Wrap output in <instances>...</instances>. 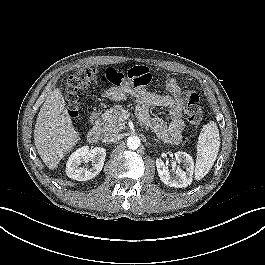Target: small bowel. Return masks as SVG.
Returning <instances> with one entry per match:
<instances>
[{
  "mask_svg": "<svg viewBox=\"0 0 265 265\" xmlns=\"http://www.w3.org/2000/svg\"><path fill=\"white\" fill-rule=\"evenodd\" d=\"M139 78L146 81L145 84H137L132 80L124 82L118 87H112L105 92L107 98L113 101H121L127 95H133L137 101V116L139 120L150 127L157 136L166 143L177 144L180 142L185 129L183 120V106L186 95L179 83L169 78L165 80L164 87L168 94L161 95L148 92L145 86L150 81V74L147 68L137 66L130 69ZM150 107L168 108L171 121L168 123L159 117H151Z\"/></svg>",
  "mask_w": 265,
  "mask_h": 265,
  "instance_id": "obj_1",
  "label": "small bowel"
}]
</instances>
